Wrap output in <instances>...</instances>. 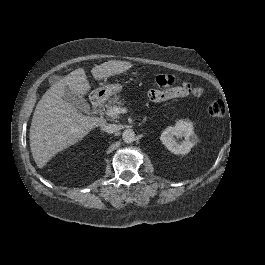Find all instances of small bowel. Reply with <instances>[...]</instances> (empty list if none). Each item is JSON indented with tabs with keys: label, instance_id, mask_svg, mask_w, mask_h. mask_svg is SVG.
<instances>
[{
	"label": "small bowel",
	"instance_id": "small-bowel-1",
	"mask_svg": "<svg viewBox=\"0 0 265 265\" xmlns=\"http://www.w3.org/2000/svg\"><path fill=\"white\" fill-rule=\"evenodd\" d=\"M203 93L204 89L202 87H192L190 84L184 83L181 86L164 90L152 89L148 92V98L153 102H164L190 95L199 97Z\"/></svg>",
	"mask_w": 265,
	"mask_h": 265
}]
</instances>
